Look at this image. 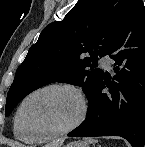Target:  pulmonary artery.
<instances>
[{
    "mask_svg": "<svg viewBox=\"0 0 145 147\" xmlns=\"http://www.w3.org/2000/svg\"><path fill=\"white\" fill-rule=\"evenodd\" d=\"M100 62L102 66L105 68L109 69L111 67L112 59L109 55H104L101 59Z\"/></svg>",
    "mask_w": 145,
    "mask_h": 147,
    "instance_id": "e3ab8cb5",
    "label": "pulmonary artery"
}]
</instances>
